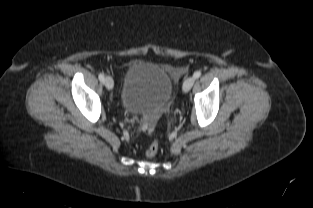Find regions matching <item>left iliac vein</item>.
Here are the masks:
<instances>
[{
	"label": "left iliac vein",
	"instance_id": "obj_1",
	"mask_svg": "<svg viewBox=\"0 0 313 208\" xmlns=\"http://www.w3.org/2000/svg\"><path fill=\"white\" fill-rule=\"evenodd\" d=\"M194 82H195L194 77L191 76V77L186 78L183 83V91L188 92L192 88Z\"/></svg>",
	"mask_w": 313,
	"mask_h": 208
}]
</instances>
